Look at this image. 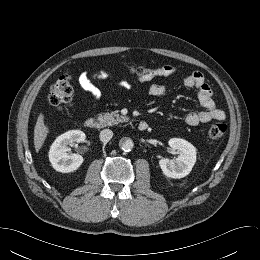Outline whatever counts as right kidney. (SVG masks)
Here are the masks:
<instances>
[{
	"label": "right kidney",
	"instance_id": "ca27d5eb",
	"mask_svg": "<svg viewBox=\"0 0 260 260\" xmlns=\"http://www.w3.org/2000/svg\"><path fill=\"white\" fill-rule=\"evenodd\" d=\"M85 138V133L80 130H71L56 138L49 150V160L56 171L69 173L81 166L83 157L79 154H69L68 145L83 142Z\"/></svg>",
	"mask_w": 260,
	"mask_h": 260
}]
</instances>
